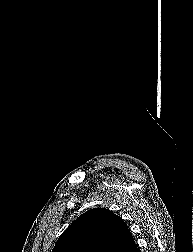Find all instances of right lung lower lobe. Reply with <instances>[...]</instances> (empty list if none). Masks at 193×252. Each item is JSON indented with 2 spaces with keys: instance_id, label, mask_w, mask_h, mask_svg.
Here are the masks:
<instances>
[{
  "instance_id": "right-lung-lower-lobe-1",
  "label": "right lung lower lobe",
  "mask_w": 193,
  "mask_h": 252,
  "mask_svg": "<svg viewBox=\"0 0 193 252\" xmlns=\"http://www.w3.org/2000/svg\"><path fill=\"white\" fill-rule=\"evenodd\" d=\"M134 252H139V250L136 248V249L134 250Z\"/></svg>"
}]
</instances>
